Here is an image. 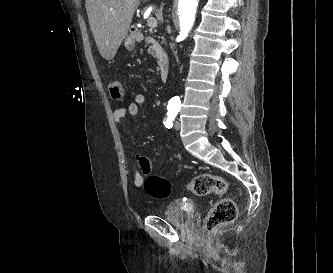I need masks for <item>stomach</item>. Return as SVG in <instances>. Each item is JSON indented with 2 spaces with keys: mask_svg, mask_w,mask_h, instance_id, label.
Masks as SVG:
<instances>
[{
  "mask_svg": "<svg viewBox=\"0 0 333 273\" xmlns=\"http://www.w3.org/2000/svg\"><path fill=\"white\" fill-rule=\"evenodd\" d=\"M124 45L128 50H132L134 48V45H135L134 35L131 34V35L127 36V38L124 42Z\"/></svg>",
  "mask_w": 333,
  "mask_h": 273,
  "instance_id": "1",
  "label": "stomach"
}]
</instances>
